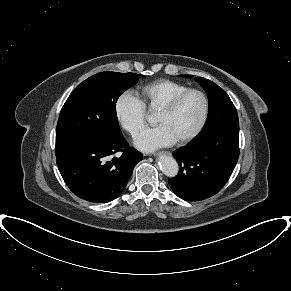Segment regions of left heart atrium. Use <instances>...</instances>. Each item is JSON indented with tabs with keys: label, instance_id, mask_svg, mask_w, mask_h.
I'll list each match as a JSON object with an SVG mask.
<instances>
[{
	"label": "left heart atrium",
	"instance_id": "1",
	"mask_svg": "<svg viewBox=\"0 0 291 291\" xmlns=\"http://www.w3.org/2000/svg\"><path fill=\"white\" fill-rule=\"evenodd\" d=\"M175 142L172 134L163 125L144 130L135 140V144L144 151H153L170 146Z\"/></svg>",
	"mask_w": 291,
	"mask_h": 291
}]
</instances>
